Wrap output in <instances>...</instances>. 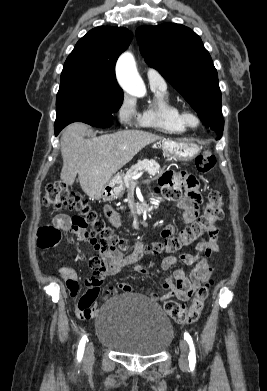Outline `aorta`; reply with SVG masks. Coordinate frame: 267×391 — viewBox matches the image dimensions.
Listing matches in <instances>:
<instances>
[{"label": "aorta", "instance_id": "762f6f07", "mask_svg": "<svg viewBox=\"0 0 267 391\" xmlns=\"http://www.w3.org/2000/svg\"><path fill=\"white\" fill-rule=\"evenodd\" d=\"M116 75L120 86L131 96L144 97L146 87L141 79L134 56L130 52L123 53L117 61Z\"/></svg>", "mask_w": 267, "mask_h": 391}]
</instances>
